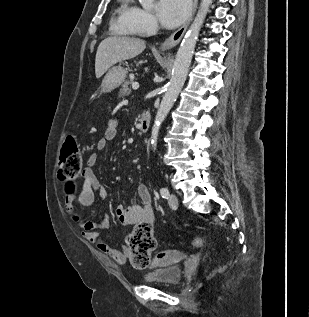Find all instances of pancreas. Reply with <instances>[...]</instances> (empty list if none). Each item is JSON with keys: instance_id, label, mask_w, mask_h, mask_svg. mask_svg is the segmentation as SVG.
I'll use <instances>...</instances> for the list:
<instances>
[{"instance_id": "1", "label": "pancreas", "mask_w": 309, "mask_h": 317, "mask_svg": "<svg viewBox=\"0 0 309 317\" xmlns=\"http://www.w3.org/2000/svg\"><path fill=\"white\" fill-rule=\"evenodd\" d=\"M133 84V81L132 79H128L126 80L123 85H122V88L120 89L119 93H118V97L119 98H124L128 95L131 94V89H130V85Z\"/></svg>"}]
</instances>
